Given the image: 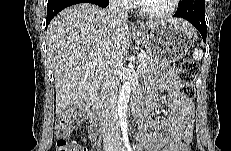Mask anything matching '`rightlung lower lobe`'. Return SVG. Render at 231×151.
<instances>
[{
  "label": "right lung lower lobe",
  "instance_id": "98d812e1",
  "mask_svg": "<svg viewBox=\"0 0 231 151\" xmlns=\"http://www.w3.org/2000/svg\"><path fill=\"white\" fill-rule=\"evenodd\" d=\"M77 3H92L105 8L108 6L109 0H48L46 28L58 12Z\"/></svg>",
  "mask_w": 231,
  "mask_h": 151
}]
</instances>
